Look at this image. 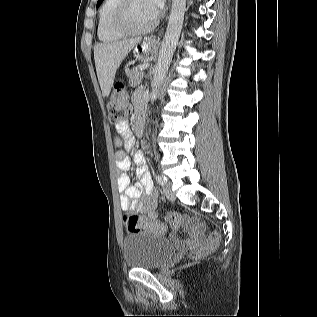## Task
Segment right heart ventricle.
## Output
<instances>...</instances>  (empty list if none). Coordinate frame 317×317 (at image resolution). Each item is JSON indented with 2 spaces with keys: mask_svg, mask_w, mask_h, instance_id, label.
Masks as SVG:
<instances>
[{
  "mask_svg": "<svg viewBox=\"0 0 317 317\" xmlns=\"http://www.w3.org/2000/svg\"><path fill=\"white\" fill-rule=\"evenodd\" d=\"M119 0H103L99 10L97 35L102 42H115L124 35L113 27V16Z\"/></svg>",
  "mask_w": 317,
  "mask_h": 317,
  "instance_id": "right-heart-ventricle-1",
  "label": "right heart ventricle"
}]
</instances>
